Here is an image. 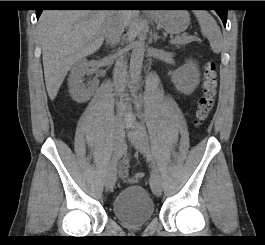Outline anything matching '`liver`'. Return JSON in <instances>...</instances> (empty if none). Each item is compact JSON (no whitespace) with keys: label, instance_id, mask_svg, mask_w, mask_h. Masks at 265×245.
<instances>
[{"label":"liver","instance_id":"liver-1","mask_svg":"<svg viewBox=\"0 0 265 245\" xmlns=\"http://www.w3.org/2000/svg\"><path fill=\"white\" fill-rule=\"evenodd\" d=\"M114 12L107 10H45L38 22L42 46L45 84L54 100L70 68L97 51L103 41L108 21ZM125 26L132 12H120Z\"/></svg>","mask_w":265,"mask_h":245}]
</instances>
